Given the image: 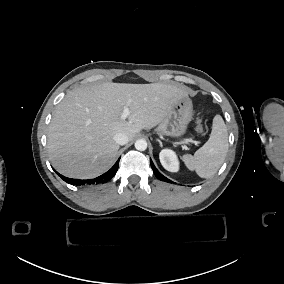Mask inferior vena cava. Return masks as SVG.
<instances>
[{
    "label": "inferior vena cava",
    "mask_w": 284,
    "mask_h": 284,
    "mask_svg": "<svg viewBox=\"0 0 284 284\" xmlns=\"http://www.w3.org/2000/svg\"><path fill=\"white\" fill-rule=\"evenodd\" d=\"M114 141L119 145H125L128 143V137L124 133H117L114 135Z\"/></svg>",
    "instance_id": "obj_1"
}]
</instances>
